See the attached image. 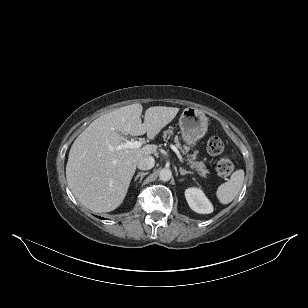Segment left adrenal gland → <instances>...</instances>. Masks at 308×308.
<instances>
[{"mask_svg":"<svg viewBox=\"0 0 308 308\" xmlns=\"http://www.w3.org/2000/svg\"><path fill=\"white\" fill-rule=\"evenodd\" d=\"M179 172H180L181 175L193 174V172H191V171H186V170L183 169V168H179Z\"/></svg>","mask_w":308,"mask_h":308,"instance_id":"a2214340","label":"left adrenal gland"}]
</instances>
